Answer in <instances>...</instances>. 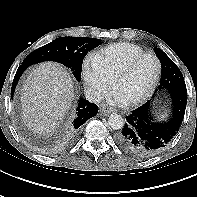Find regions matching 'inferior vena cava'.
<instances>
[{
	"mask_svg": "<svg viewBox=\"0 0 197 197\" xmlns=\"http://www.w3.org/2000/svg\"><path fill=\"white\" fill-rule=\"evenodd\" d=\"M85 97L88 101L92 103H100L101 100L103 99V95L101 92L91 88H87L85 90Z\"/></svg>",
	"mask_w": 197,
	"mask_h": 197,
	"instance_id": "inferior-vena-cava-1",
	"label": "inferior vena cava"
}]
</instances>
